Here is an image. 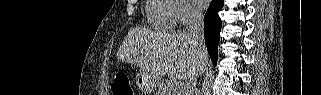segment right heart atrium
Masks as SVG:
<instances>
[{
	"mask_svg": "<svg viewBox=\"0 0 321 95\" xmlns=\"http://www.w3.org/2000/svg\"><path fill=\"white\" fill-rule=\"evenodd\" d=\"M175 24L187 25L199 17L198 10L187 0H165Z\"/></svg>",
	"mask_w": 321,
	"mask_h": 95,
	"instance_id": "right-heart-atrium-1",
	"label": "right heart atrium"
}]
</instances>
